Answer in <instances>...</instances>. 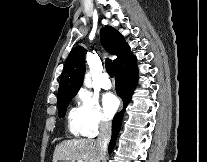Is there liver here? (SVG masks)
<instances>
[{
    "instance_id": "liver-1",
    "label": "liver",
    "mask_w": 207,
    "mask_h": 162,
    "mask_svg": "<svg viewBox=\"0 0 207 162\" xmlns=\"http://www.w3.org/2000/svg\"><path fill=\"white\" fill-rule=\"evenodd\" d=\"M61 161H84L100 162V154L96 140L94 139H71L62 141L56 145L53 154V162Z\"/></svg>"
}]
</instances>
